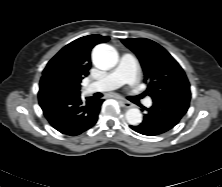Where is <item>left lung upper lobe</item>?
Listing matches in <instances>:
<instances>
[{
  "instance_id": "obj_1",
  "label": "left lung upper lobe",
  "mask_w": 222,
  "mask_h": 187,
  "mask_svg": "<svg viewBox=\"0 0 222 187\" xmlns=\"http://www.w3.org/2000/svg\"><path fill=\"white\" fill-rule=\"evenodd\" d=\"M138 57L144 82L153 100L165 96L191 95L190 84L178 62L159 44L149 39H123Z\"/></svg>"
}]
</instances>
